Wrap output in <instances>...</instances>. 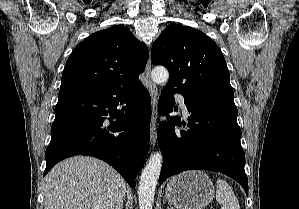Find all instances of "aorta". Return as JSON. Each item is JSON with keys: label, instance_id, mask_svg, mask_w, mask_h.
<instances>
[{"label": "aorta", "instance_id": "obj_1", "mask_svg": "<svg viewBox=\"0 0 299 209\" xmlns=\"http://www.w3.org/2000/svg\"><path fill=\"white\" fill-rule=\"evenodd\" d=\"M152 80L157 84H163L168 81V70L163 66H157L152 70ZM162 154L156 152L151 155L147 165L143 169L139 188L138 200L139 209H152L156 185L162 168Z\"/></svg>", "mask_w": 299, "mask_h": 209}]
</instances>
